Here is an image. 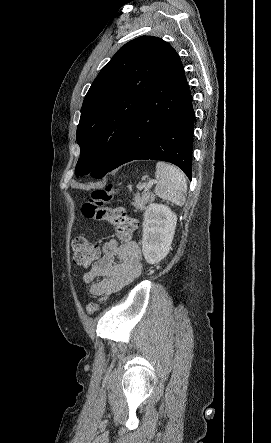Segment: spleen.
I'll return each instance as SVG.
<instances>
[{"label":"spleen","instance_id":"obj_1","mask_svg":"<svg viewBox=\"0 0 271 443\" xmlns=\"http://www.w3.org/2000/svg\"><path fill=\"white\" fill-rule=\"evenodd\" d=\"M155 176L158 180L155 186L156 196L172 202L175 206H184L187 192L185 174L175 166L157 162Z\"/></svg>","mask_w":271,"mask_h":443}]
</instances>
